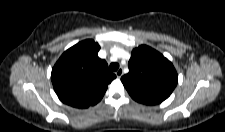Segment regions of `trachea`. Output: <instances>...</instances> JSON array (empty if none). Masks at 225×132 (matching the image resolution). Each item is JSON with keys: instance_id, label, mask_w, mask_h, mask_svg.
<instances>
[{"instance_id": "trachea-1", "label": "trachea", "mask_w": 225, "mask_h": 132, "mask_svg": "<svg viewBox=\"0 0 225 132\" xmlns=\"http://www.w3.org/2000/svg\"><path fill=\"white\" fill-rule=\"evenodd\" d=\"M119 69V64L118 63H111L110 64V70L111 71H117Z\"/></svg>"}]
</instances>
